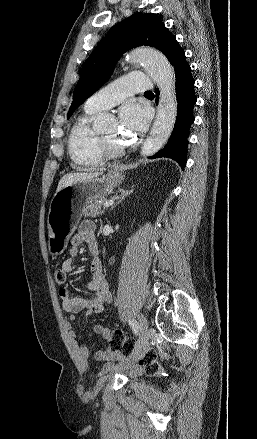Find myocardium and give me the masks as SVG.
I'll list each match as a JSON object with an SVG mask.
<instances>
[{"label":"myocardium","mask_w":257,"mask_h":439,"mask_svg":"<svg viewBox=\"0 0 257 439\" xmlns=\"http://www.w3.org/2000/svg\"><path fill=\"white\" fill-rule=\"evenodd\" d=\"M99 142L104 156L114 158L124 152V146L121 144H111L102 134L99 135Z\"/></svg>","instance_id":"obj_1"}]
</instances>
